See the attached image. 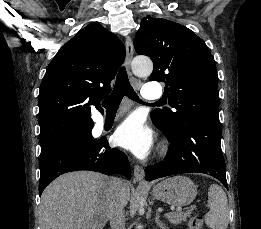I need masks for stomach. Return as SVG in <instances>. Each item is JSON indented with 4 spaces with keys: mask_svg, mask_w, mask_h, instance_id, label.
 Listing matches in <instances>:
<instances>
[{
    "mask_svg": "<svg viewBox=\"0 0 261 229\" xmlns=\"http://www.w3.org/2000/svg\"><path fill=\"white\" fill-rule=\"evenodd\" d=\"M152 195L154 199L168 203V205L185 207V205L193 203L197 195V187L188 177H170L155 185Z\"/></svg>",
    "mask_w": 261,
    "mask_h": 229,
    "instance_id": "0dacf381",
    "label": "stomach"
}]
</instances>
